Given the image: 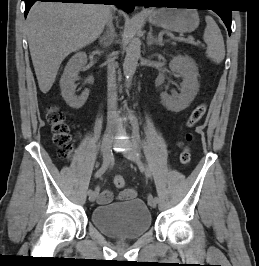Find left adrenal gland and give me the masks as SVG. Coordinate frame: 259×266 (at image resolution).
Instances as JSON below:
<instances>
[{
	"mask_svg": "<svg viewBox=\"0 0 259 266\" xmlns=\"http://www.w3.org/2000/svg\"><path fill=\"white\" fill-rule=\"evenodd\" d=\"M153 30H152V28L150 27V31H149V33H148V35H147V45L148 46H151V45H153V44H157V45H163V38L161 37V36H159V37H154L153 36Z\"/></svg>",
	"mask_w": 259,
	"mask_h": 266,
	"instance_id": "obj_1",
	"label": "left adrenal gland"
}]
</instances>
